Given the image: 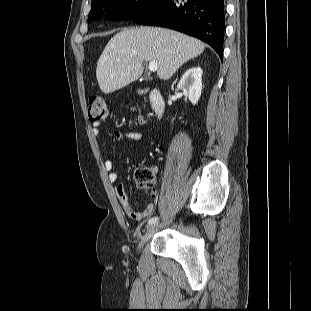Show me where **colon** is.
<instances>
[{
  "label": "colon",
  "mask_w": 311,
  "mask_h": 311,
  "mask_svg": "<svg viewBox=\"0 0 311 311\" xmlns=\"http://www.w3.org/2000/svg\"><path fill=\"white\" fill-rule=\"evenodd\" d=\"M107 106L103 98L92 97L88 104V118L92 122H100L107 117ZM135 178L142 186L149 187L153 181L152 173L144 168H138L135 172Z\"/></svg>",
  "instance_id": "colon-1"
}]
</instances>
